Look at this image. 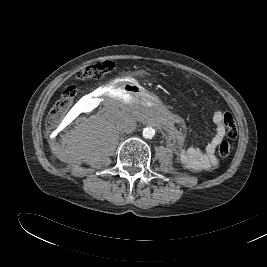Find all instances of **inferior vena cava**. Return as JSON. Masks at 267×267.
<instances>
[{
    "label": "inferior vena cava",
    "mask_w": 267,
    "mask_h": 267,
    "mask_svg": "<svg viewBox=\"0 0 267 267\" xmlns=\"http://www.w3.org/2000/svg\"><path fill=\"white\" fill-rule=\"evenodd\" d=\"M116 128L121 132L132 133L136 128V123L132 118L128 116H123L118 119L116 123Z\"/></svg>",
    "instance_id": "inferior-vena-cava-1"
}]
</instances>
